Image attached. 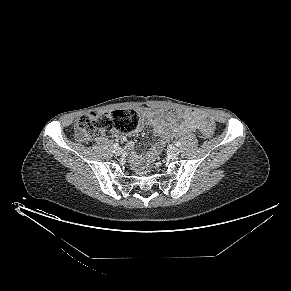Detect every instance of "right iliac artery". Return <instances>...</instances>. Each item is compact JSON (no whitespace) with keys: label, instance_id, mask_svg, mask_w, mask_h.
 <instances>
[{"label":"right iliac artery","instance_id":"right-iliac-artery-1","mask_svg":"<svg viewBox=\"0 0 291 291\" xmlns=\"http://www.w3.org/2000/svg\"><path fill=\"white\" fill-rule=\"evenodd\" d=\"M113 147H114L115 149H117V148H119V144L116 143V144L113 145Z\"/></svg>","mask_w":291,"mask_h":291}]
</instances>
